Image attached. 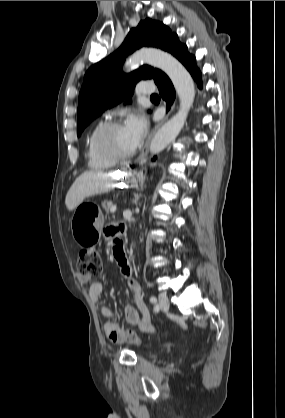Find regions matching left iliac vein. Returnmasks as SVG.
I'll return each mask as SVG.
<instances>
[{
  "label": "left iliac vein",
  "mask_w": 285,
  "mask_h": 418,
  "mask_svg": "<svg viewBox=\"0 0 285 418\" xmlns=\"http://www.w3.org/2000/svg\"><path fill=\"white\" fill-rule=\"evenodd\" d=\"M158 299V307L163 311H167L169 309V300L166 294L160 293Z\"/></svg>",
  "instance_id": "1"
}]
</instances>
